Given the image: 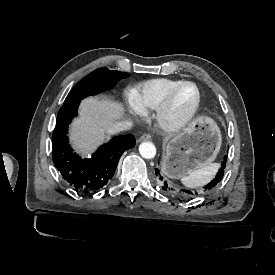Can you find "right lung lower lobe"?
Here are the masks:
<instances>
[{
  "label": "right lung lower lobe",
  "mask_w": 275,
  "mask_h": 275,
  "mask_svg": "<svg viewBox=\"0 0 275 275\" xmlns=\"http://www.w3.org/2000/svg\"><path fill=\"white\" fill-rule=\"evenodd\" d=\"M80 102L63 105L52 134V158L62 178L81 193H91L112 178L124 151L135 146L133 135L118 136L99 147L90 159H81L69 145L68 125L77 115Z\"/></svg>",
  "instance_id": "obj_1"
}]
</instances>
